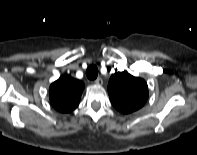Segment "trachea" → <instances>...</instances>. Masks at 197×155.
<instances>
[{
    "mask_svg": "<svg viewBox=\"0 0 197 155\" xmlns=\"http://www.w3.org/2000/svg\"><path fill=\"white\" fill-rule=\"evenodd\" d=\"M86 76L90 80H95L98 76V68L95 65H90L86 70Z\"/></svg>",
    "mask_w": 197,
    "mask_h": 155,
    "instance_id": "trachea-1",
    "label": "trachea"
}]
</instances>
